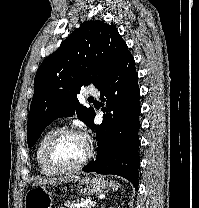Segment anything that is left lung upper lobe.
Wrapping results in <instances>:
<instances>
[{"mask_svg": "<svg viewBox=\"0 0 199 208\" xmlns=\"http://www.w3.org/2000/svg\"><path fill=\"white\" fill-rule=\"evenodd\" d=\"M129 56L126 43L112 24L86 21L69 35L35 75L27 123L28 146H33L43 130L62 116L76 112L89 126L95 112L80 105L77 94L91 83L98 88Z\"/></svg>", "mask_w": 199, "mask_h": 208, "instance_id": "1", "label": "left lung upper lobe"}]
</instances>
